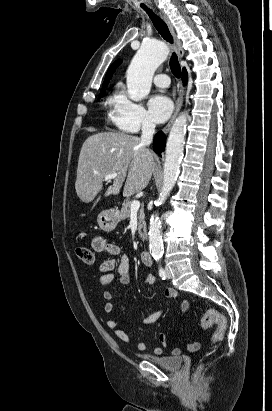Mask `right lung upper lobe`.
<instances>
[{
  "mask_svg": "<svg viewBox=\"0 0 272 411\" xmlns=\"http://www.w3.org/2000/svg\"><path fill=\"white\" fill-rule=\"evenodd\" d=\"M122 63V60H116L111 67L108 69L106 76H105V80L103 82V87H106L109 83V80L111 79L113 73L115 72L116 68ZM102 90H104V88H102ZM101 90V91H102Z\"/></svg>",
  "mask_w": 272,
  "mask_h": 411,
  "instance_id": "obj_1",
  "label": "right lung upper lobe"
}]
</instances>
